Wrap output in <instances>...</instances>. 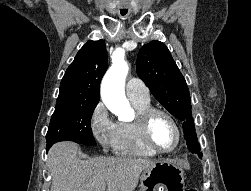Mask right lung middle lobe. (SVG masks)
Wrapping results in <instances>:
<instances>
[{
  "label": "right lung middle lobe",
  "instance_id": "right-lung-middle-lobe-1",
  "mask_svg": "<svg viewBox=\"0 0 251 191\" xmlns=\"http://www.w3.org/2000/svg\"><path fill=\"white\" fill-rule=\"evenodd\" d=\"M97 104L55 107L46 135L47 150L59 141L94 146L91 117Z\"/></svg>",
  "mask_w": 251,
  "mask_h": 191
}]
</instances>
